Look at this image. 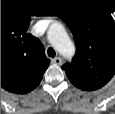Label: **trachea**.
Here are the masks:
<instances>
[{"label": "trachea", "mask_w": 115, "mask_h": 114, "mask_svg": "<svg viewBox=\"0 0 115 114\" xmlns=\"http://www.w3.org/2000/svg\"><path fill=\"white\" fill-rule=\"evenodd\" d=\"M47 53L49 57H54L56 54L53 48H48Z\"/></svg>", "instance_id": "3493384b"}]
</instances>
